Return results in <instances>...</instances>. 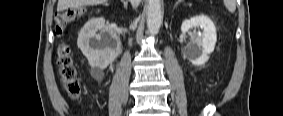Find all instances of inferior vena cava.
Segmentation results:
<instances>
[{
	"instance_id": "1",
	"label": "inferior vena cava",
	"mask_w": 283,
	"mask_h": 116,
	"mask_svg": "<svg viewBox=\"0 0 283 116\" xmlns=\"http://www.w3.org/2000/svg\"><path fill=\"white\" fill-rule=\"evenodd\" d=\"M133 7H137L140 3V0H130Z\"/></svg>"
}]
</instances>
